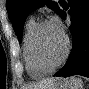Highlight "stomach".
<instances>
[{
  "mask_svg": "<svg viewBox=\"0 0 89 89\" xmlns=\"http://www.w3.org/2000/svg\"><path fill=\"white\" fill-rule=\"evenodd\" d=\"M49 89H75V88L69 83V81L60 79Z\"/></svg>",
  "mask_w": 89,
  "mask_h": 89,
  "instance_id": "obj_1",
  "label": "stomach"
}]
</instances>
